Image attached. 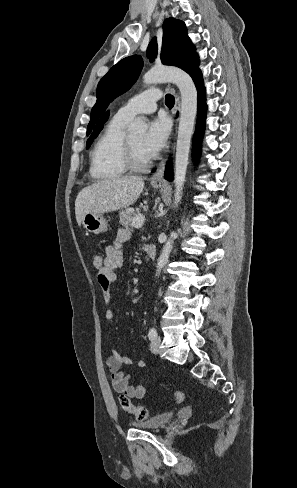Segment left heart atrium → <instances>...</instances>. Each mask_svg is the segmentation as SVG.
Segmentation results:
<instances>
[{
	"label": "left heart atrium",
	"mask_w": 297,
	"mask_h": 488,
	"mask_svg": "<svg viewBox=\"0 0 297 488\" xmlns=\"http://www.w3.org/2000/svg\"><path fill=\"white\" fill-rule=\"evenodd\" d=\"M169 133L170 126L166 118L159 116L150 122L142 142L143 151L149 158L165 146Z\"/></svg>",
	"instance_id": "39dd6f15"
}]
</instances>
